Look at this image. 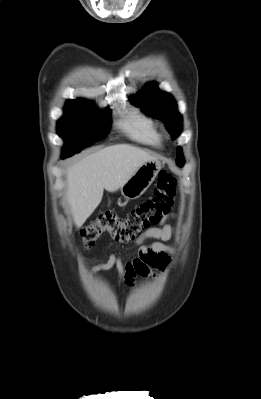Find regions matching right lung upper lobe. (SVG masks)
<instances>
[{
    "mask_svg": "<svg viewBox=\"0 0 261 399\" xmlns=\"http://www.w3.org/2000/svg\"><path fill=\"white\" fill-rule=\"evenodd\" d=\"M83 101H87V100L78 98V99H74V100H69L68 102H83Z\"/></svg>",
    "mask_w": 261,
    "mask_h": 399,
    "instance_id": "obj_1",
    "label": "right lung upper lobe"
}]
</instances>
